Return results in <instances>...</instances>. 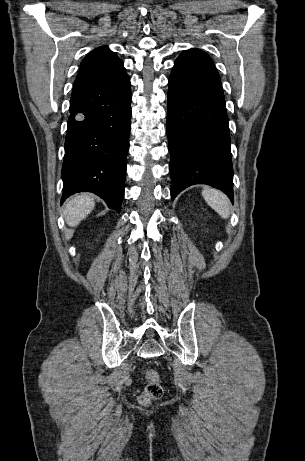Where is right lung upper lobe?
I'll list each match as a JSON object with an SVG mask.
<instances>
[{"mask_svg":"<svg viewBox=\"0 0 305 461\" xmlns=\"http://www.w3.org/2000/svg\"><path fill=\"white\" fill-rule=\"evenodd\" d=\"M125 73L123 62L108 47L91 51L82 61L75 86L106 82Z\"/></svg>","mask_w":305,"mask_h":461,"instance_id":"cb5924a9","label":"right lung upper lobe"}]
</instances>
